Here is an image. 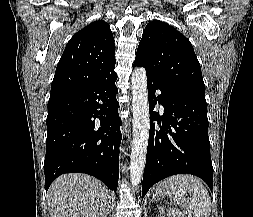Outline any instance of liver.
Listing matches in <instances>:
<instances>
[{
  "label": "liver",
  "mask_w": 253,
  "mask_h": 217,
  "mask_svg": "<svg viewBox=\"0 0 253 217\" xmlns=\"http://www.w3.org/2000/svg\"><path fill=\"white\" fill-rule=\"evenodd\" d=\"M50 217H107L108 188L98 179L69 173L59 176L47 193Z\"/></svg>",
  "instance_id": "liver-1"
}]
</instances>
